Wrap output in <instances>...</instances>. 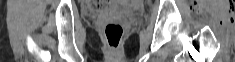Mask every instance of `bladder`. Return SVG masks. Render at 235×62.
Returning <instances> with one entry per match:
<instances>
[{
  "mask_svg": "<svg viewBox=\"0 0 235 62\" xmlns=\"http://www.w3.org/2000/svg\"><path fill=\"white\" fill-rule=\"evenodd\" d=\"M123 9H124L125 16H127L128 18H130L132 20H137L138 19L136 14L133 12V10L129 9L126 6H123Z\"/></svg>",
  "mask_w": 235,
  "mask_h": 62,
  "instance_id": "obj_1",
  "label": "bladder"
}]
</instances>
